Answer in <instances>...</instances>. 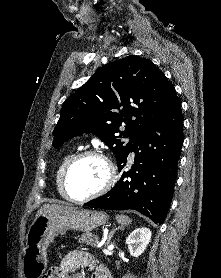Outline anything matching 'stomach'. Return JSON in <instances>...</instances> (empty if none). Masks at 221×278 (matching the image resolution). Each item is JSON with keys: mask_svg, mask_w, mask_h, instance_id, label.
<instances>
[{"mask_svg": "<svg viewBox=\"0 0 221 278\" xmlns=\"http://www.w3.org/2000/svg\"><path fill=\"white\" fill-rule=\"evenodd\" d=\"M107 220L108 216L104 212L86 209L36 215L26 236L25 257H22V262H26L24 275H28V278L45 275L46 249L58 235H64L68 230L90 232L104 225Z\"/></svg>", "mask_w": 221, "mask_h": 278, "instance_id": "stomach-1", "label": "stomach"}]
</instances>
